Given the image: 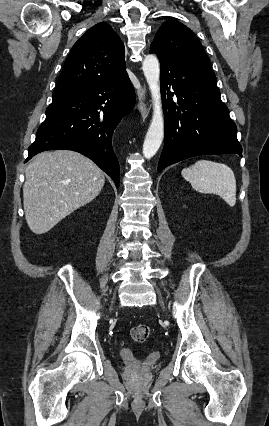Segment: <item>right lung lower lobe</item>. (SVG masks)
Returning <instances> with one entry per match:
<instances>
[{
  "label": "right lung lower lobe",
  "instance_id": "98d812e1",
  "mask_svg": "<svg viewBox=\"0 0 269 426\" xmlns=\"http://www.w3.org/2000/svg\"><path fill=\"white\" fill-rule=\"evenodd\" d=\"M127 73L113 81L73 89L52 102L28 148V158L46 150H73L93 160L119 186L113 132L135 105Z\"/></svg>",
  "mask_w": 269,
  "mask_h": 426
}]
</instances>
